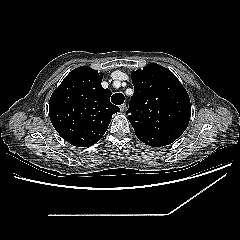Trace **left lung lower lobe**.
I'll list each match as a JSON object with an SVG mask.
<instances>
[{
    "label": "left lung lower lobe",
    "mask_w": 240,
    "mask_h": 240,
    "mask_svg": "<svg viewBox=\"0 0 240 240\" xmlns=\"http://www.w3.org/2000/svg\"><path fill=\"white\" fill-rule=\"evenodd\" d=\"M142 142L149 146L159 147V146H166L175 140L170 138H149V139H141Z\"/></svg>",
    "instance_id": "1"
}]
</instances>
